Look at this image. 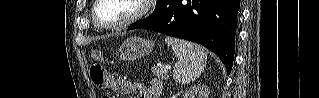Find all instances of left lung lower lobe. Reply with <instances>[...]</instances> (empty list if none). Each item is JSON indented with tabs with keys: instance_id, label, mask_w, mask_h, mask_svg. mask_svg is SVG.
Here are the masks:
<instances>
[{
	"instance_id": "0a47b994",
	"label": "left lung lower lobe",
	"mask_w": 319,
	"mask_h": 98,
	"mask_svg": "<svg viewBox=\"0 0 319 98\" xmlns=\"http://www.w3.org/2000/svg\"><path fill=\"white\" fill-rule=\"evenodd\" d=\"M240 0H165L162 16L147 29L196 42L217 54L230 74L235 53V36Z\"/></svg>"
}]
</instances>
